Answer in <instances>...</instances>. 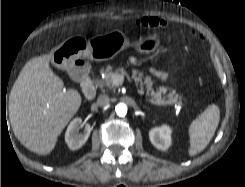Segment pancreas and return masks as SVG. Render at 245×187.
<instances>
[{"label":"pancreas","mask_w":245,"mask_h":187,"mask_svg":"<svg viewBox=\"0 0 245 187\" xmlns=\"http://www.w3.org/2000/svg\"><path fill=\"white\" fill-rule=\"evenodd\" d=\"M101 72L104 74V79L98 80L97 81V85L101 88L103 87H109L112 88L113 87V83H112V76L113 74H115V72L113 71L112 66L108 65L106 68H101ZM132 79L140 84V85H146L147 87H150L152 85V80L149 76H144L143 73H137V71L133 72L132 75ZM162 89H159L153 96L154 101H160L162 99ZM166 99H168V101L170 100H178L181 99V96L176 94L175 92H170L168 95L165 96Z\"/></svg>","instance_id":"pancreas-1"}]
</instances>
